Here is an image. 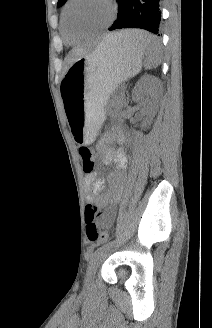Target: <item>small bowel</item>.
<instances>
[{
	"label": "small bowel",
	"mask_w": 212,
	"mask_h": 328,
	"mask_svg": "<svg viewBox=\"0 0 212 328\" xmlns=\"http://www.w3.org/2000/svg\"><path fill=\"white\" fill-rule=\"evenodd\" d=\"M115 137L116 133L110 134L107 136L105 143L101 145L103 163L106 165L114 164L117 168V170L109 176L111 191L105 196L98 197L104 187L103 180L98 179L93 171L85 173V181L89 189L88 200L95 202L99 207L105 209L101 216L100 224L106 229L112 227L116 216V205L121 198L125 181V169L128 162L127 154L123 149L115 151L107 145Z\"/></svg>",
	"instance_id": "c3829d8e"
}]
</instances>
